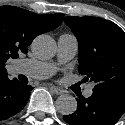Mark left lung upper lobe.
Wrapping results in <instances>:
<instances>
[{
  "label": "left lung upper lobe",
  "mask_w": 125,
  "mask_h": 125,
  "mask_svg": "<svg viewBox=\"0 0 125 125\" xmlns=\"http://www.w3.org/2000/svg\"><path fill=\"white\" fill-rule=\"evenodd\" d=\"M64 22L78 39L79 73L95 82L93 90L125 92V32L98 17H66Z\"/></svg>",
  "instance_id": "1"
}]
</instances>
